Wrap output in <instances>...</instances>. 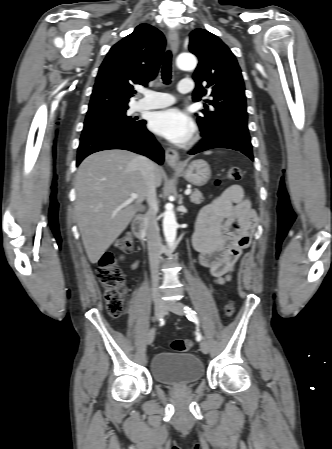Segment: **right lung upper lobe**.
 <instances>
[{
    "instance_id": "right-lung-upper-lobe-1",
    "label": "right lung upper lobe",
    "mask_w": 332,
    "mask_h": 449,
    "mask_svg": "<svg viewBox=\"0 0 332 449\" xmlns=\"http://www.w3.org/2000/svg\"><path fill=\"white\" fill-rule=\"evenodd\" d=\"M165 44L164 35L149 24L116 43L99 68L88 112L128 107L134 86H147L157 75Z\"/></svg>"
}]
</instances>
